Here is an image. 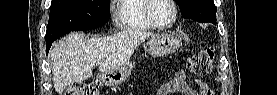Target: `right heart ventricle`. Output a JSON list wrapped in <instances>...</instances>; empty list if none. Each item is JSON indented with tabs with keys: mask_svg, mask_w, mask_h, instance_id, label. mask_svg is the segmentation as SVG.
Returning a JSON list of instances; mask_svg holds the SVG:
<instances>
[{
	"mask_svg": "<svg viewBox=\"0 0 277 95\" xmlns=\"http://www.w3.org/2000/svg\"><path fill=\"white\" fill-rule=\"evenodd\" d=\"M148 0H118L116 25L121 30L151 29L153 25L145 16Z\"/></svg>",
	"mask_w": 277,
	"mask_h": 95,
	"instance_id": "e07e8e85",
	"label": "right heart ventricle"
}]
</instances>
